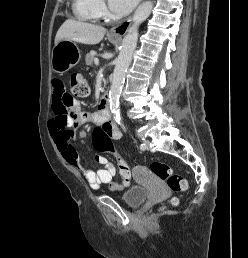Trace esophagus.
I'll list each match as a JSON object with an SVG mask.
<instances>
[{
  "mask_svg": "<svg viewBox=\"0 0 248 258\" xmlns=\"http://www.w3.org/2000/svg\"><path fill=\"white\" fill-rule=\"evenodd\" d=\"M132 23V16L126 19L123 23L111 28L110 34L115 36H122L124 35L128 29L130 28Z\"/></svg>",
  "mask_w": 248,
  "mask_h": 258,
  "instance_id": "1",
  "label": "esophagus"
}]
</instances>
